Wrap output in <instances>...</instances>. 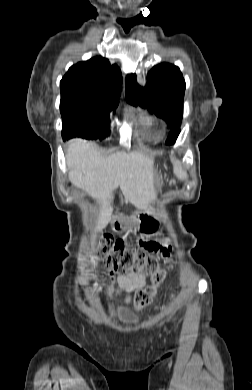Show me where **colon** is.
<instances>
[{"label":"colon","mask_w":252,"mask_h":390,"mask_svg":"<svg viewBox=\"0 0 252 390\" xmlns=\"http://www.w3.org/2000/svg\"><path fill=\"white\" fill-rule=\"evenodd\" d=\"M144 231L150 233L152 227L146 226ZM148 247L149 241L146 240H140L138 246L133 248L123 238L105 236L98 251L105 266L112 272L120 274L133 272L151 277V283L138 289L135 293L134 306L136 309L150 304L165 277V272L159 266L157 259L148 254Z\"/></svg>","instance_id":"1"}]
</instances>
